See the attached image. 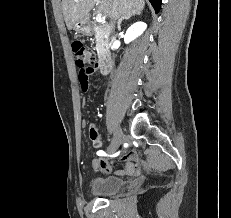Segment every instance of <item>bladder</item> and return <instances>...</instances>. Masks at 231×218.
I'll return each instance as SVG.
<instances>
[{
  "mask_svg": "<svg viewBox=\"0 0 231 218\" xmlns=\"http://www.w3.org/2000/svg\"><path fill=\"white\" fill-rule=\"evenodd\" d=\"M123 186L124 181L119 177H100L93 180L91 192L99 197L110 196L119 192Z\"/></svg>",
  "mask_w": 231,
  "mask_h": 218,
  "instance_id": "obj_1",
  "label": "bladder"
}]
</instances>
